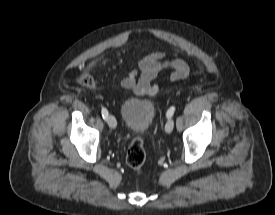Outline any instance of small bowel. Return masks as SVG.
<instances>
[{
  "label": "small bowel",
  "mask_w": 275,
  "mask_h": 215,
  "mask_svg": "<svg viewBox=\"0 0 275 215\" xmlns=\"http://www.w3.org/2000/svg\"><path fill=\"white\" fill-rule=\"evenodd\" d=\"M140 76L137 77V69L132 68L121 80V87L132 90L138 96H155L160 86L154 82L159 73L169 70L168 80L176 82L184 79L189 73L187 62L175 51L171 57H167L162 50H155L142 57L137 64Z\"/></svg>",
  "instance_id": "small-bowel-1"
}]
</instances>
